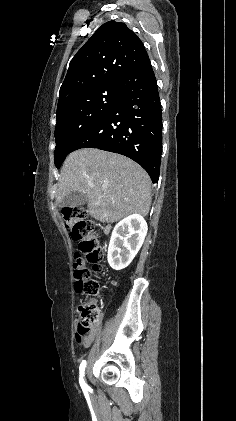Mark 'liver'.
<instances>
[{"instance_id":"1","label":"liver","mask_w":236,"mask_h":421,"mask_svg":"<svg viewBox=\"0 0 236 421\" xmlns=\"http://www.w3.org/2000/svg\"><path fill=\"white\" fill-rule=\"evenodd\" d=\"M74 190L86 194L89 215L101 223H117L128 215L146 217L151 206L146 170L128 156L99 148H79L65 158L56 204Z\"/></svg>"}]
</instances>
